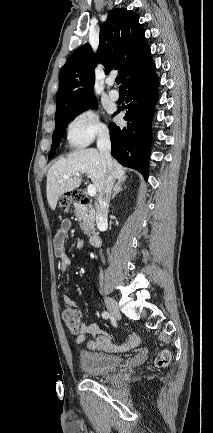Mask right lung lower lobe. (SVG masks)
Returning a JSON list of instances; mask_svg holds the SVG:
<instances>
[{"label":"right lung lower lobe","mask_w":213,"mask_h":433,"mask_svg":"<svg viewBox=\"0 0 213 433\" xmlns=\"http://www.w3.org/2000/svg\"><path fill=\"white\" fill-rule=\"evenodd\" d=\"M155 70L150 59L123 84L127 97L122 110H128L124 116L128 124L124 128L113 122L109 124L112 156L123 166L139 171L145 179L148 178L151 122L158 100L159 80Z\"/></svg>","instance_id":"obj_1"}]
</instances>
